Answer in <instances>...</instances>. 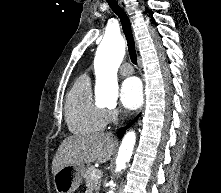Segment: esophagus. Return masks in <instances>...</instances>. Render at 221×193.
Masks as SVG:
<instances>
[{"label":"esophagus","mask_w":221,"mask_h":193,"mask_svg":"<svg viewBox=\"0 0 221 193\" xmlns=\"http://www.w3.org/2000/svg\"><path fill=\"white\" fill-rule=\"evenodd\" d=\"M118 2H119V4H120V6L127 12L128 9H127V6H126V4L124 3V1H123V0H118Z\"/></svg>","instance_id":"34e87169"}]
</instances>
